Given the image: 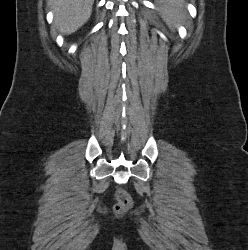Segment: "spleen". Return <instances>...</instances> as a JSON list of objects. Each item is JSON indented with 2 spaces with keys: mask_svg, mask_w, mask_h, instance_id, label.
<instances>
[{
  "mask_svg": "<svg viewBox=\"0 0 248 250\" xmlns=\"http://www.w3.org/2000/svg\"><path fill=\"white\" fill-rule=\"evenodd\" d=\"M160 12L170 28L186 18L183 0H159Z\"/></svg>",
  "mask_w": 248,
  "mask_h": 250,
  "instance_id": "1",
  "label": "spleen"
}]
</instances>
